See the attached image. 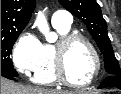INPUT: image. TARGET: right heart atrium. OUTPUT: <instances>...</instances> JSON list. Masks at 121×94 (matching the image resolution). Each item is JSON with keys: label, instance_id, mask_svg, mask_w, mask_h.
Masks as SVG:
<instances>
[{"label": "right heart atrium", "instance_id": "1", "mask_svg": "<svg viewBox=\"0 0 121 94\" xmlns=\"http://www.w3.org/2000/svg\"><path fill=\"white\" fill-rule=\"evenodd\" d=\"M41 43L37 37L26 32L13 46L11 59L15 69L24 75L30 74L39 62Z\"/></svg>", "mask_w": 121, "mask_h": 94}]
</instances>
